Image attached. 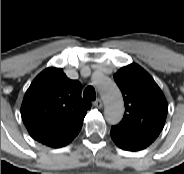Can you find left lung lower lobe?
Returning <instances> with one entry per match:
<instances>
[{
  "label": "left lung lower lobe",
  "instance_id": "left-lung-lower-lobe-1",
  "mask_svg": "<svg viewBox=\"0 0 184 174\" xmlns=\"http://www.w3.org/2000/svg\"><path fill=\"white\" fill-rule=\"evenodd\" d=\"M111 138L115 144L128 151H139L149 146L155 139L132 133L118 126H112Z\"/></svg>",
  "mask_w": 184,
  "mask_h": 174
}]
</instances>
